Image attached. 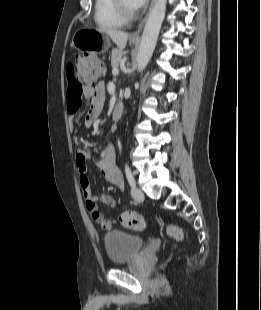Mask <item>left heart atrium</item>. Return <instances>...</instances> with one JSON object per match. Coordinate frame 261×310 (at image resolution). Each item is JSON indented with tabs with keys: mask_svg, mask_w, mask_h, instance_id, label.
Listing matches in <instances>:
<instances>
[{
	"mask_svg": "<svg viewBox=\"0 0 261 310\" xmlns=\"http://www.w3.org/2000/svg\"><path fill=\"white\" fill-rule=\"evenodd\" d=\"M148 0H130L132 7L137 10L143 7Z\"/></svg>",
	"mask_w": 261,
	"mask_h": 310,
	"instance_id": "1",
	"label": "left heart atrium"
}]
</instances>
